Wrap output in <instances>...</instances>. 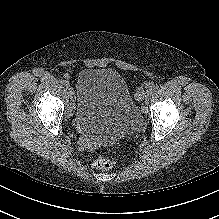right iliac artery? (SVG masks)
Returning a JSON list of instances; mask_svg holds the SVG:
<instances>
[{
    "label": "right iliac artery",
    "mask_w": 219,
    "mask_h": 219,
    "mask_svg": "<svg viewBox=\"0 0 219 219\" xmlns=\"http://www.w3.org/2000/svg\"><path fill=\"white\" fill-rule=\"evenodd\" d=\"M62 84H63L64 86H66V87H69V86H70L68 80H63V81H62Z\"/></svg>",
    "instance_id": "right-iliac-artery-1"
}]
</instances>
